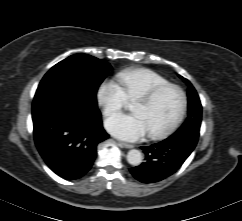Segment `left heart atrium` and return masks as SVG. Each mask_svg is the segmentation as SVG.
Segmentation results:
<instances>
[{
  "label": "left heart atrium",
  "instance_id": "39dd6f15",
  "mask_svg": "<svg viewBox=\"0 0 242 221\" xmlns=\"http://www.w3.org/2000/svg\"><path fill=\"white\" fill-rule=\"evenodd\" d=\"M113 136L125 141H137L148 134L144 120L136 114H116L105 121Z\"/></svg>",
  "mask_w": 242,
  "mask_h": 221
}]
</instances>
